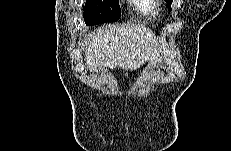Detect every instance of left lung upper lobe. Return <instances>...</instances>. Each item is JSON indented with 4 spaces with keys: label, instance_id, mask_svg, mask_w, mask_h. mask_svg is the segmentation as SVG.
Here are the masks:
<instances>
[{
    "label": "left lung upper lobe",
    "instance_id": "obj_1",
    "mask_svg": "<svg viewBox=\"0 0 231 151\" xmlns=\"http://www.w3.org/2000/svg\"><path fill=\"white\" fill-rule=\"evenodd\" d=\"M165 1L168 3V7L171 10V4H172L173 0H165Z\"/></svg>",
    "mask_w": 231,
    "mask_h": 151
}]
</instances>
